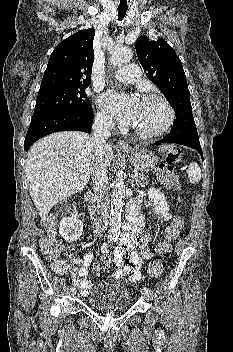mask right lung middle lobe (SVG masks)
<instances>
[{
    "label": "right lung middle lobe",
    "instance_id": "1",
    "mask_svg": "<svg viewBox=\"0 0 233 352\" xmlns=\"http://www.w3.org/2000/svg\"><path fill=\"white\" fill-rule=\"evenodd\" d=\"M87 86L48 85L40 87L33 116L92 109L85 94Z\"/></svg>",
    "mask_w": 233,
    "mask_h": 352
}]
</instances>
